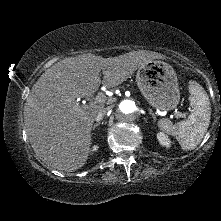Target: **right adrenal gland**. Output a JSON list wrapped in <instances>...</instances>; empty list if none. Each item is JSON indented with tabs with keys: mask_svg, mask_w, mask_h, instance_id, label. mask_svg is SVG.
<instances>
[{
	"mask_svg": "<svg viewBox=\"0 0 221 221\" xmlns=\"http://www.w3.org/2000/svg\"><path fill=\"white\" fill-rule=\"evenodd\" d=\"M99 125H100V122L94 124V126H93V130H95V128L98 127Z\"/></svg>",
	"mask_w": 221,
	"mask_h": 221,
	"instance_id": "1",
	"label": "right adrenal gland"
}]
</instances>
